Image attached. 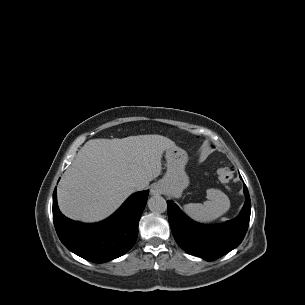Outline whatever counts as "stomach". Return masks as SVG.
Returning <instances> with one entry per match:
<instances>
[{"label": "stomach", "mask_w": 305, "mask_h": 305, "mask_svg": "<svg viewBox=\"0 0 305 305\" xmlns=\"http://www.w3.org/2000/svg\"><path fill=\"white\" fill-rule=\"evenodd\" d=\"M165 158L167 171L158 185L164 193L178 198L189 185V178L185 172L188 155L186 151L176 146L166 150Z\"/></svg>", "instance_id": "0dacf381"}]
</instances>
